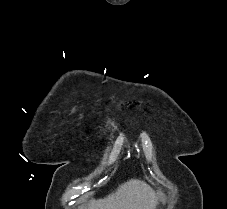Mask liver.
<instances>
[{
  "label": "liver",
  "mask_w": 227,
  "mask_h": 209,
  "mask_svg": "<svg viewBox=\"0 0 227 209\" xmlns=\"http://www.w3.org/2000/svg\"><path fill=\"white\" fill-rule=\"evenodd\" d=\"M158 197L149 185L131 179L106 199L92 201L89 209H156Z\"/></svg>",
  "instance_id": "liver-1"
}]
</instances>
